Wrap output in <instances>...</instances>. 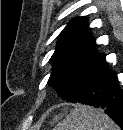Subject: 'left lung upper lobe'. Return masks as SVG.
Masks as SVG:
<instances>
[{
	"label": "left lung upper lobe",
	"mask_w": 123,
	"mask_h": 130,
	"mask_svg": "<svg viewBox=\"0 0 123 130\" xmlns=\"http://www.w3.org/2000/svg\"><path fill=\"white\" fill-rule=\"evenodd\" d=\"M86 17L72 19L58 37L48 84L67 102L76 103L93 67L103 56L95 49Z\"/></svg>",
	"instance_id": "obj_1"
}]
</instances>
